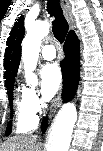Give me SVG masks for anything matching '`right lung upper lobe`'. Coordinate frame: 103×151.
Masks as SVG:
<instances>
[{
  "label": "right lung upper lobe",
  "instance_id": "1",
  "mask_svg": "<svg viewBox=\"0 0 103 151\" xmlns=\"http://www.w3.org/2000/svg\"><path fill=\"white\" fill-rule=\"evenodd\" d=\"M24 17L21 16L10 32L7 48L4 55V69L6 81H15L21 57V41L24 37Z\"/></svg>",
  "mask_w": 103,
  "mask_h": 151
}]
</instances>
